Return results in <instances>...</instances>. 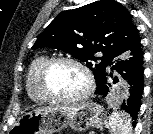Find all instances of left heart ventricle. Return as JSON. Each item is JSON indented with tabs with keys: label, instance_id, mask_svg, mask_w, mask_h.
I'll use <instances>...</instances> for the list:
<instances>
[{
	"label": "left heart ventricle",
	"instance_id": "obj_1",
	"mask_svg": "<svg viewBox=\"0 0 153 134\" xmlns=\"http://www.w3.org/2000/svg\"><path fill=\"white\" fill-rule=\"evenodd\" d=\"M47 85L51 92L61 97H75L86 87L83 72L71 64H57L51 68Z\"/></svg>",
	"mask_w": 153,
	"mask_h": 134
}]
</instances>
